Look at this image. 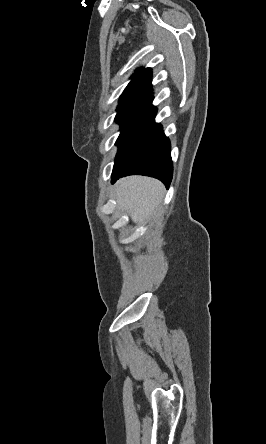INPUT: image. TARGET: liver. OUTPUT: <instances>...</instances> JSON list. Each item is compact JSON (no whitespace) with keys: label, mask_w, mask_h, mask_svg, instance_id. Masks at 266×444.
Here are the masks:
<instances>
[{"label":"liver","mask_w":266,"mask_h":444,"mask_svg":"<svg viewBox=\"0 0 266 444\" xmlns=\"http://www.w3.org/2000/svg\"><path fill=\"white\" fill-rule=\"evenodd\" d=\"M164 192L160 181L143 176H129L115 185L118 207L129 213L135 223L150 218L161 204Z\"/></svg>","instance_id":"1"}]
</instances>
